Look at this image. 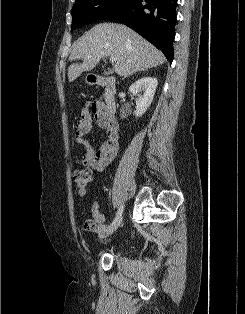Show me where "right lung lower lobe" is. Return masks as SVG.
Here are the masks:
<instances>
[{"mask_svg":"<svg viewBox=\"0 0 245 314\" xmlns=\"http://www.w3.org/2000/svg\"><path fill=\"white\" fill-rule=\"evenodd\" d=\"M177 0H130L106 20L125 23L172 62Z\"/></svg>","mask_w":245,"mask_h":314,"instance_id":"right-lung-lower-lobe-1","label":"right lung lower lobe"}]
</instances>
